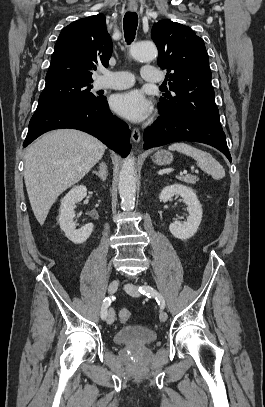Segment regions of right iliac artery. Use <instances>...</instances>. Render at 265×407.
I'll return each instance as SVG.
<instances>
[{
  "label": "right iliac artery",
  "instance_id": "right-iliac-artery-1",
  "mask_svg": "<svg viewBox=\"0 0 265 407\" xmlns=\"http://www.w3.org/2000/svg\"><path fill=\"white\" fill-rule=\"evenodd\" d=\"M110 304H111V298H110V297H106V298L103 300L102 307H101V318H102L103 320H105L106 317H107V309H108V307L110 306Z\"/></svg>",
  "mask_w": 265,
  "mask_h": 407
}]
</instances>
